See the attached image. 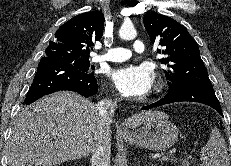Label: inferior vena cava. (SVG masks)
<instances>
[{"mask_svg": "<svg viewBox=\"0 0 231 166\" xmlns=\"http://www.w3.org/2000/svg\"><path fill=\"white\" fill-rule=\"evenodd\" d=\"M116 101L111 99H104L97 103L95 106L96 111L100 117L108 124L112 122V118L115 112ZM108 139L102 141L92 154L91 166H110V138L107 133Z\"/></svg>", "mask_w": 231, "mask_h": 166, "instance_id": "inferior-vena-cava-1", "label": "inferior vena cava"}]
</instances>
